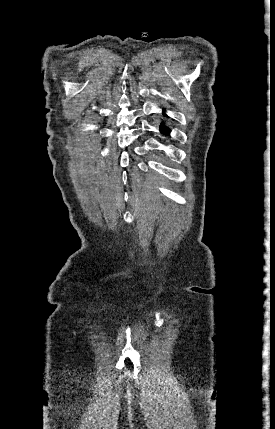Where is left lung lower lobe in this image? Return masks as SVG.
I'll return each instance as SVG.
<instances>
[{"label": "left lung lower lobe", "mask_w": 275, "mask_h": 429, "mask_svg": "<svg viewBox=\"0 0 275 429\" xmlns=\"http://www.w3.org/2000/svg\"><path fill=\"white\" fill-rule=\"evenodd\" d=\"M161 132H162V133H167V134H169L170 129H168V128H162V129H161Z\"/></svg>", "instance_id": "1"}]
</instances>
